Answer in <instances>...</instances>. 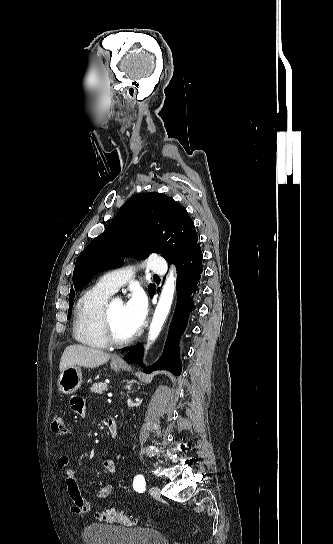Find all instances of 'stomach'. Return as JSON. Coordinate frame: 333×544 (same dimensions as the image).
Masks as SVG:
<instances>
[{
	"label": "stomach",
	"instance_id": "obj_1",
	"mask_svg": "<svg viewBox=\"0 0 333 544\" xmlns=\"http://www.w3.org/2000/svg\"><path fill=\"white\" fill-rule=\"evenodd\" d=\"M115 371L121 370L122 364H111ZM82 384V372L79 366H71L64 369L58 378V389L64 394H72L80 388Z\"/></svg>",
	"mask_w": 333,
	"mask_h": 544
}]
</instances>
